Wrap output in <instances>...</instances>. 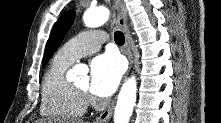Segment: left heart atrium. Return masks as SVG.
<instances>
[{"instance_id": "39dd6f15", "label": "left heart atrium", "mask_w": 221, "mask_h": 123, "mask_svg": "<svg viewBox=\"0 0 221 123\" xmlns=\"http://www.w3.org/2000/svg\"><path fill=\"white\" fill-rule=\"evenodd\" d=\"M124 72L121 58L114 53L95 57L90 64V91L100 97L110 96Z\"/></svg>"}]
</instances>
